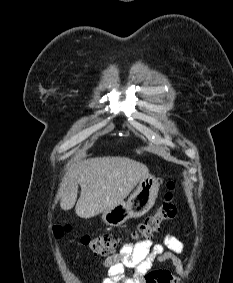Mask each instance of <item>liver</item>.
<instances>
[{"instance_id": "obj_1", "label": "liver", "mask_w": 233, "mask_h": 283, "mask_svg": "<svg viewBox=\"0 0 233 283\" xmlns=\"http://www.w3.org/2000/svg\"><path fill=\"white\" fill-rule=\"evenodd\" d=\"M147 174L146 165L128 157L89 158L67 172L60 207L63 210L74 207L80 185L75 212L80 218H92L123 202Z\"/></svg>"}]
</instances>
